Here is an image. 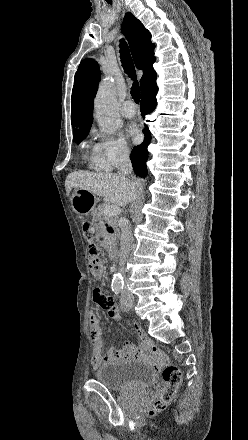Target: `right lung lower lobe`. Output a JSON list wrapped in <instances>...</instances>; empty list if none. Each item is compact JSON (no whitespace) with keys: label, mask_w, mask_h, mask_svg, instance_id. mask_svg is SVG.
<instances>
[{"label":"right lung lower lobe","mask_w":248,"mask_h":440,"mask_svg":"<svg viewBox=\"0 0 248 440\" xmlns=\"http://www.w3.org/2000/svg\"><path fill=\"white\" fill-rule=\"evenodd\" d=\"M158 87L156 82H152L144 91L141 93V115L144 117L146 114L152 112L157 104L156 94ZM145 135L144 142L134 147L131 152L130 158L133 165L135 173L140 177H145L147 175L146 161L148 159L147 147L151 141V134L148 126L145 125L143 130Z\"/></svg>","instance_id":"right-lung-lower-lobe-1"}]
</instances>
